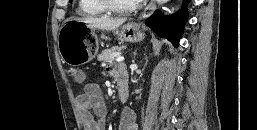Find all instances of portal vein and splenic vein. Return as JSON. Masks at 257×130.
<instances>
[{"label": "portal vein and splenic vein", "mask_w": 257, "mask_h": 130, "mask_svg": "<svg viewBox=\"0 0 257 130\" xmlns=\"http://www.w3.org/2000/svg\"><path fill=\"white\" fill-rule=\"evenodd\" d=\"M116 61L117 62H122V61H124V57L119 55V56L116 57Z\"/></svg>", "instance_id": "1"}]
</instances>
